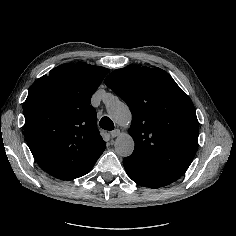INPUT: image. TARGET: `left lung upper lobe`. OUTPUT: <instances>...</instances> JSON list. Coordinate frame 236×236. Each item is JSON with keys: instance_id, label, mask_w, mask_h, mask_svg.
I'll return each instance as SVG.
<instances>
[{"instance_id": "obj_1", "label": "left lung upper lobe", "mask_w": 236, "mask_h": 236, "mask_svg": "<svg viewBox=\"0 0 236 236\" xmlns=\"http://www.w3.org/2000/svg\"><path fill=\"white\" fill-rule=\"evenodd\" d=\"M105 84L132 113L129 156L171 181L178 180L198 149L199 123L194 105L160 68L132 65L107 76Z\"/></svg>"}]
</instances>
